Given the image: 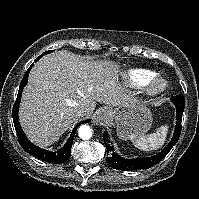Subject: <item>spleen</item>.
I'll return each instance as SVG.
<instances>
[{"label":"spleen","instance_id":"obj_1","mask_svg":"<svg viewBox=\"0 0 199 199\" xmlns=\"http://www.w3.org/2000/svg\"><path fill=\"white\" fill-rule=\"evenodd\" d=\"M168 126L159 127L149 135H133L130 140L140 150L150 151L159 149L166 141Z\"/></svg>","mask_w":199,"mask_h":199}]
</instances>
